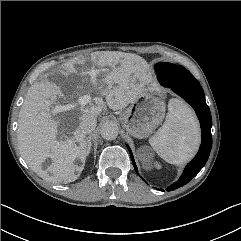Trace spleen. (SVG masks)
<instances>
[{"label": "spleen", "instance_id": "3e777b00", "mask_svg": "<svg viewBox=\"0 0 241 241\" xmlns=\"http://www.w3.org/2000/svg\"><path fill=\"white\" fill-rule=\"evenodd\" d=\"M149 143L161 158L171 164L189 161L200 144L199 123L193 110L180 99H170L166 120Z\"/></svg>", "mask_w": 241, "mask_h": 241}]
</instances>
